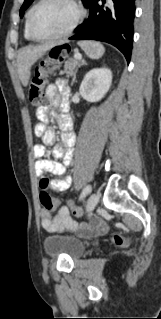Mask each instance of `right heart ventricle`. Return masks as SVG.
<instances>
[{"instance_id":"right-heart-ventricle-1","label":"right heart ventricle","mask_w":161,"mask_h":319,"mask_svg":"<svg viewBox=\"0 0 161 319\" xmlns=\"http://www.w3.org/2000/svg\"><path fill=\"white\" fill-rule=\"evenodd\" d=\"M35 5H33L27 12L26 14V18H25V24H24V38L26 40H31L29 34H28V19H29V16H30V13L32 11V9L34 8Z\"/></svg>"}]
</instances>
